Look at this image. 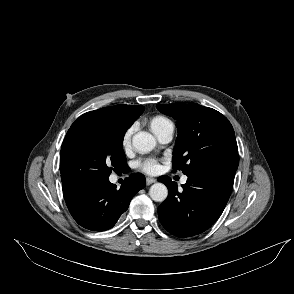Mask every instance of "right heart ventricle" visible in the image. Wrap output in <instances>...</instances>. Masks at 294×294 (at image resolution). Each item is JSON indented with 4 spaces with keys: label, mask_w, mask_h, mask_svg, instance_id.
<instances>
[{
    "label": "right heart ventricle",
    "mask_w": 294,
    "mask_h": 294,
    "mask_svg": "<svg viewBox=\"0 0 294 294\" xmlns=\"http://www.w3.org/2000/svg\"><path fill=\"white\" fill-rule=\"evenodd\" d=\"M171 123L172 121L169 118L163 115H156L149 120V127L152 130V132L157 136V134L161 130H163L166 126H168Z\"/></svg>",
    "instance_id": "obj_1"
}]
</instances>
